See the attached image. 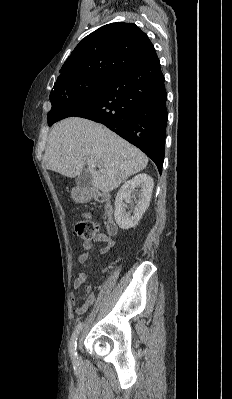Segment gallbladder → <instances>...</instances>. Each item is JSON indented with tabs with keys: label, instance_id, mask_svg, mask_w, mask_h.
Returning a JSON list of instances; mask_svg holds the SVG:
<instances>
[{
	"label": "gallbladder",
	"instance_id": "1",
	"mask_svg": "<svg viewBox=\"0 0 232 399\" xmlns=\"http://www.w3.org/2000/svg\"><path fill=\"white\" fill-rule=\"evenodd\" d=\"M76 184L81 186V188H89L91 186V174L90 172H86V170H82L80 172V176L76 178Z\"/></svg>",
	"mask_w": 232,
	"mask_h": 399
}]
</instances>
